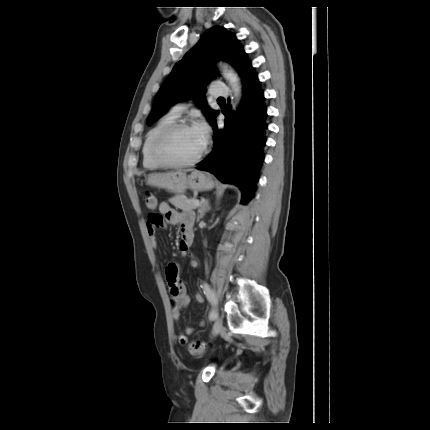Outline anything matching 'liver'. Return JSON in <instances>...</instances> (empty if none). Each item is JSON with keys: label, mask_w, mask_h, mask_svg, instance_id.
Segmentation results:
<instances>
[{"label": "liver", "mask_w": 430, "mask_h": 430, "mask_svg": "<svg viewBox=\"0 0 430 430\" xmlns=\"http://www.w3.org/2000/svg\"><path fill=\"white\" fill-rule=\"evenodd\" d=\"M188 171H191V169H189V170H184L183 172H188Z\"/></svg>", "instance_id": "1"}]
</instances>
